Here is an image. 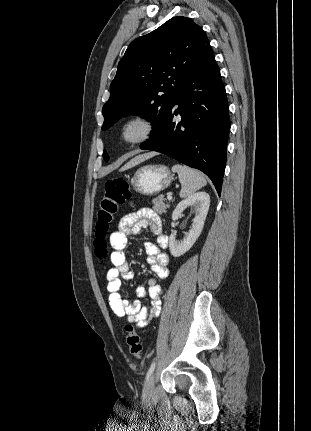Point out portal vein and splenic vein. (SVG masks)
<instances>
[{
    "label": "portal vein and splenic vein",
    "mask_w": 311,
    "mask_h": 431,
    "mask_svg": "<svg viewBox=\"0 0 311 431\" xmlns=\"http://www.w3.org/2000/svg\"><path fill=\"white\" fill-rule=\"evenodd\" d=\"M167 200H172L171 194H167Z\"/></svg>",
    "instance_id": "portal-vein-and-splenic-vein-1"
}]
</instances>
